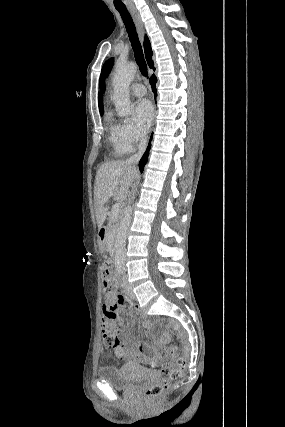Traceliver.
Here are the masks:
<instances>
[{
  "label": "liver",
  "mask_w": 285,
  "mask_h": 427,
  "mask_svg": "<svg viewBox=\"0 0 285 427\" xmlns=\"http://www.w3.org/2000/svg\"><path fill=\"white\" fill-rule=\"evenodd\" d=\"M137 176V170L125 161H111L100 166L94 184V206L99 229L102 228L108 214L109 207L105 204L109 198L113 196L114 201H124Z\"/></svg>",
  "instance_id": "6515ba94"
}]
</instances>
